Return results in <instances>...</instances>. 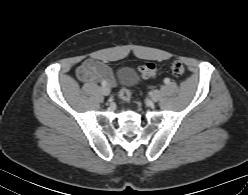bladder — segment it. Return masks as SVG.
<instances>
[{"instance_id": "1", "label": "bladder", "mask_w": 248, "mask_h": 195, "mask_svg": "<svg viewBox=\"0 0 248 195\" xmlns=\"http://www.w3.org/2000/svg\"><path fill=\"white\" fill-rule=\"evenodd\" d=\"M136 81V73L131 67H124L120 70L118 82L122 86L129 87Z\"/></svg>"}]
</instances>
